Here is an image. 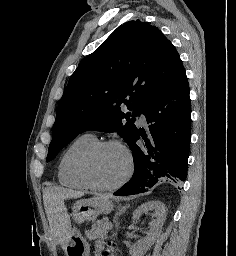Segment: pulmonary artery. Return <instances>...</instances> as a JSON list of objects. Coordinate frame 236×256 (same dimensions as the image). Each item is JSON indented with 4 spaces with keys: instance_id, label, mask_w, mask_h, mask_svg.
<instances>
[{
    "instance_id": "e3ab8cb5",
    "label": "pulmonary artery",
    "mask_w": 236,
    "mask_h": 256,
    "mask_svg": "<svg viewBox=\"0 0 236 256\" xmlns=\"http://www.w3.org/2000/svg\"><path fill=\"white\" fill-rule=\"evenodd\" d=\"M140 120L143 123H145V121H146L145 115L143 113L140 115Z\"/></svg>"
}]
</instances>
